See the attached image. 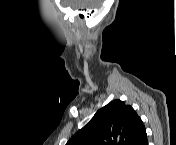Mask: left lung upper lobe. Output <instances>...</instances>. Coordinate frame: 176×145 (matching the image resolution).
<instances>
[{"label":"left lung upper lobe","mask_w":176,"mask_h":145,"mask_svg":"<svg viewBox=\"0 0 176 145\" xmlns=\"http://www.w3.org/2000/svg\"><path fill=\"white\" fill-rule=\"evenodd\" d=\"M145 132L135 110L123 101L114 100L99 109L66 145H137Z\"/></svg>","instance_id":"1"}]
</instances>
